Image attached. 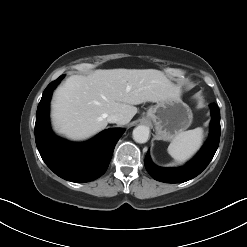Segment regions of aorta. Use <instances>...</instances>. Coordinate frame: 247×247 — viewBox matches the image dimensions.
I'll return each instance as SVG.
<instances>
[{
	"label": "aorta",
	"mask_w": 247,
	"mask_h": 247,
	"mask_svg": "<svg viewBox=\"0 0 247 247\" xmlns=\"http://www.w3.org/2000/svg\"><path fill=\"white\" fill-rule=\"evenodd\" d=\"M150 130L147 126L139 125L133 130V139L137 143H146L149 139Z\"/></svg>",
	"instance_id": "obj_1"
}]
</instances>
